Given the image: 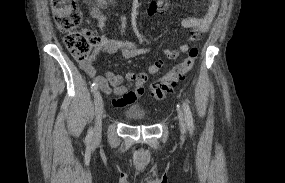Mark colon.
Here are the masks:
<instances>
[{
    "label": "colon",
    "instance_id": "5ec220e1",
    "mask_svg": "<svg viewBox=\"0 0 285 183\" xmlns=\"http://www.w3.org/2000/svg\"><path fill=\"white\" fill-rule=\"evenodd\" d=\"M56 27L66 33L64 43L70 54L77 60H88L93 49L100 43V37L91 30L78 29L83 16L75 0H50ZM198 56V49L190 48L187 57L164 76L154 81L150 87L153 98H166L177 82L184 79L192 69Z\"/></svg>",
    "mask_w": 285,
    "mask_h": 183
}]
</instances>
